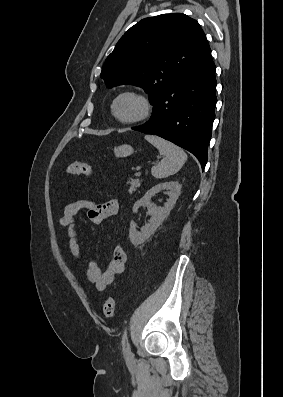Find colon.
I'll return each instance as SVG.
<instances>
[{"mask_svg":"<svg viewBox=\"0 0 283 397\" xmlns=\"http://www.w3.org/2000/svg\"><path fill=\"white\" fill-rule=\"evenodd\" d=\"M66 172L71 175H78L83 176L89 180L93 178V173L91 166L87 163L75 161L70 163L67 168ZM116 308V301L113 297H109L103 304V313L104 316L110 318L114 315Z\"/></svg>","mask_w":283,"mask_h":397,"instance_id":"colon-1","label":"colon"}]
</instances>
